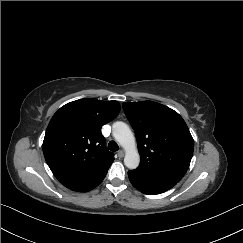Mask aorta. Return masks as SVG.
Instances as JSON below:
<instances>
[{"label": "aorta", "instance_id": "1", "mask_svg": "<svg viewBox=\"0 0 243 243\" xmlns=\"http://www.w3.org/2000/svg\"><path fill=\"white\" fill-rule=\"evenodd\" d=\"M113 136L125 150V166L129 169H136L140 163V156L129 126L121 121L115 122L113 124Z\"/></svg>", "mask_w": 243, "mask_h": 243}]
</instances>
